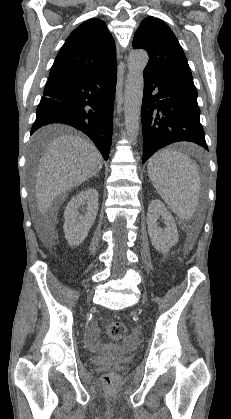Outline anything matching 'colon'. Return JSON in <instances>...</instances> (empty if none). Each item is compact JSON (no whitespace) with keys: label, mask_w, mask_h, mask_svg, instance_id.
I'll use <instances>...</instances> for the list:
<instances>
[{"label":"colon","mask_w":231,"mask_h":419,"mask_svg":"<svg viewBox=\"0 0 231 419\" xmlns=\"http://www.w3.org/2000/svg\"><path fill=\"white\" fill-rule=\"evenodd\" d=\"M126 332V326L119 321H113L107 327V334L113 341L122 340ZM103 383L107 388H112L115 385V376L111 373L105 374L103 376Z\"/></svg>","instance_id":"obj_1"}]
</instances>
